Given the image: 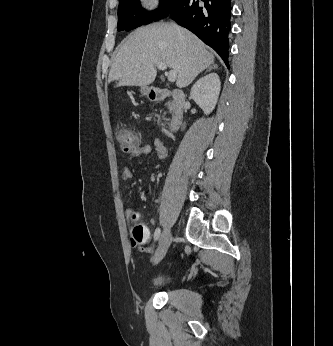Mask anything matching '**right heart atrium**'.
<instances>
[{
  "label": "right heart atrium",
  "mask_w": 333,
  "mask_h": 346,
  "mask_svg": "<svg viewBox=\"0 0 333 346\" xmlns=\"http://www.w3.org/2000/svg\"><path fill=\"white\" fill-rule=\"evenodd\" d=\"M146 7L153 9L156 8L160 0H142Z\"/></svg>",
  "instance_id": "obj_1"
}]
</instances>
